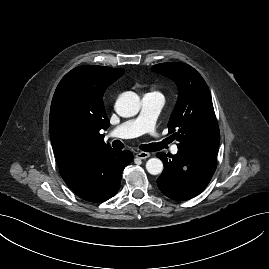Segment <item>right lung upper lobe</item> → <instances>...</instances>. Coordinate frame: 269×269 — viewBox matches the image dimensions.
<instances>
[{"label": "right lung upper lobe", "mask_w": 269, "mask_h": 269, "mask_svg": "<svg viewBox=\"0 0 269 269\" xmlns=\"http://www.w3.org/2000/svg\"><path fill=\"white\" fill-rule=\"evenodd\" d=\"M123 74V69L87 65L71 70L58 84L50 109V135L60 169L112 150L100 133L109 126L103 94Z\"/></svg>", "instance_id": "cb5924a9"}]
</instances>
